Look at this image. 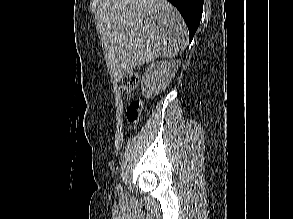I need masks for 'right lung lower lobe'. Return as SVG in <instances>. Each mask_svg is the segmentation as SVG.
<instances>
[{
  "instance_id": "1",
  "label": "right lung lower lobe",
  "mask_w": 293,
  "mask_h": 219,
  "mask_svg": "<svg viewBox=\"0 0 293 219\" xmlns=\"http://www.w3.org/2000/svg\"><path fill=\"white\" fill-rule=\"evenodd\" d=\"M181 13L189 30V41H192L193 36L199 26L204 0H168Z\"/></svg>"
}]
</instances>
